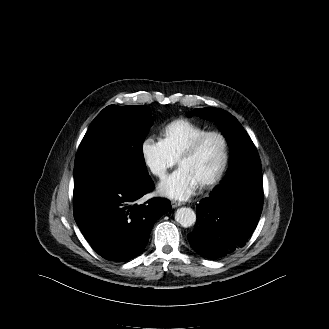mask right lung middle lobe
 <instances>
[{
    "label": "right lung middle lobe",
    "mask_w": 329,
    "mask_h": 329,
    "mask_svg": "<svg viewBox=\"0 0 329 329\" xmlns=\"http://www.w3.org/2000/svg\"><path fill=\"white\" fill-rule=\"evenodd\" d=\"M153 117L145 106L110 105L93 120L75 158L74 186L93 178L140 185L149 174L143 141Z\"/></svg>",
    "instance_id": "obj_1"
}]
</instances>
